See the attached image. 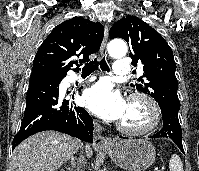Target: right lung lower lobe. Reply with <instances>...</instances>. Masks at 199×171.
Wrapping results in <instances>:
<instances>
[{
	"label": "right lung lower lobe",
	"mask_w": 199,
	"mask_h": 171,
	"mask_svg": "<svg viewBox=\"0 0 199 171\" xmlns=\"http://www.w3.org/2000/svg\"><path fill=\"white\" fill-rule=\"evenodd\" d=\"M64 77L31 76L25 114L13 139L12 149L27 137L45 130H56L93 142V120L88 112L69 100L59 98V84Z\"/></svg>",
	"instance_id": "obj_1"
}]
</instances>
